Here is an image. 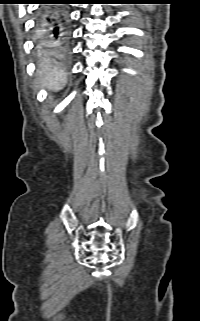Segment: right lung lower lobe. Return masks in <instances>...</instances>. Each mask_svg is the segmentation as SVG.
<instances>
[{
    "label": "right lung lower lobe",
    "mask_w": 200,
    "mask_h": 321,
    "mask_svg": "<svg viewBox=\"0 0 200 321\" xmlns=\"http://www.w3.org/2000/svg\"><path fill=\"white\" fill-rule=\"evenodd\" d=\"M40 1L46 5L40 9L39 25L53 43L65 45L68 38L66 16L63 8L56 4H66L67 0Z\"/></svg>",
    "instance_id": "98d812e1"
}]
</instances>
